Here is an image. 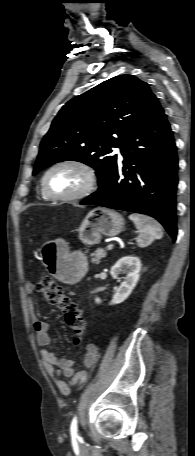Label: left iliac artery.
Listing matches in <instances>:
<instances>
[{
  "label": "left iliac artery",
  "instance_id": "obj_1",
  "mask_svg": "<svg viewBox=\"0 0 195 456\" xmlns=\"http://www.w3.org/2000/svg\"><path fill=\"white\" fill-rule=\"evenodd\" d=\"M70 432L73 437H77L78 426H77V418L74 416L70 426Z\"/></svg>",
  "mask_w": 195,
  "mask_h": 456
}]
</instances>
